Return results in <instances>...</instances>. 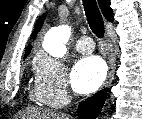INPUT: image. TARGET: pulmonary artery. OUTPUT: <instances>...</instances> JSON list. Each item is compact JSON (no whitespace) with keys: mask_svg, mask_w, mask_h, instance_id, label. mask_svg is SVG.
Returning <instances> with one entry per match:
<instances>
[{"mask_svg":"<svg viewBox=\"0 0 142 119\" xmlns=\"http://www.w3.org/2000/svg\"><path fill=\"white\" fill-rule=\"evenodd\" d=\"M76 49L82 54H89L94 50V42L90 37H82L76 42Z\"/></svg>","mask_w":142,"mask_h":119,"instance_id":"e3ab8cb5","label":"pulmonary artery"}]
</instances>
